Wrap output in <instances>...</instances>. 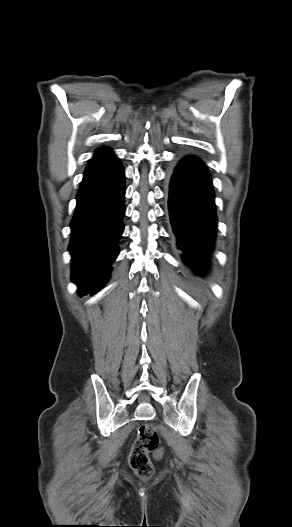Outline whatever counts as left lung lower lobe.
I'll use <instances>...</instances> for the list:
<instances>
[{"mask_svg":"<svg viewBox=\"0 0 292 527\" xmlns=\"http://www.w3.org/2000/svg\"><path fill=\"white\" fill-rule=\"evenodd\" d=\"M171 223L186 262L204 268L216 231L214 195L209 173L196 157L182 158L171 174Z\"/></svg>","mask_w":292,"mask_h":527,"instance_id":"1","label":"left lung lower lobe"}]
</instances>
